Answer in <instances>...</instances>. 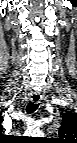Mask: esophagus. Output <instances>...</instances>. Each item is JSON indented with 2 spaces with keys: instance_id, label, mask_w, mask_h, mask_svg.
I'll return each instance as SVG.
<instances>
[{
  "instance_id": "1",
  "label": "esophagus",
  "mask_w": 77,
  "mask_h": 143,
  "mask_svg": "<svg viewBox=\"0 0 77 143\" xmlns=\"http://www.w3.org/2000/svg\"><path fill=\"white\" fill-rule=\"evenodd\" d=\"M41 95L39 93H31L30 94V100L33 102V103H39L41 101Z\"/></svg>"
}]
</instances>
